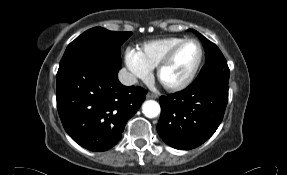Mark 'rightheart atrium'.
<instances>
[{
	"instance_id": "obj_1",
	"label": "right heart atrium",
	"mask_w": 287,
	"mask_h": 175,
	"mask_svg": "<svg viewBox=\"0 0 287 175\" xmlns=\"http://www.w3.org/2000/svg\"><path fill=\"white\" fill-rule=\"evenodd\" d=\"M124 62L133 79L148 80L151 70L141 61L134 49L128 48L124 54Z\"/></svg>"
}]
</instances>
